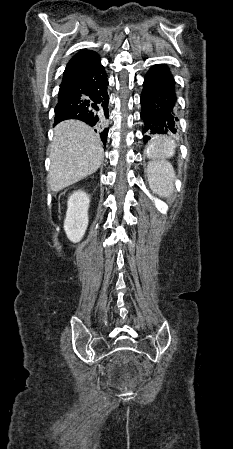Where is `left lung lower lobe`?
<instances>
[{
	"mask_svg": "<svg viewBox=\"0 0 233 449\" xmlns=\"http://www.w3.org/2000/svg\"><path fill=\"white\" fill-rule=\"evenodd\" d=\"M175 80L164 64L152 66L144 78L141 94V119L144 142L163 144L169 142L158 135L176 132L174 114L176 104Z\"/></svg>",
	"mask_w": 233,
	"mask_h": 449,
	"instance_id": "obj_1",
	"label": "left lung lower lobe"
}]
</instances>
